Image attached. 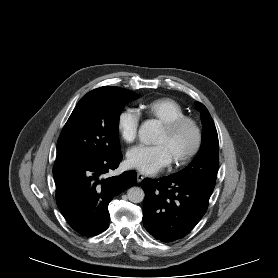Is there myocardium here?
<instances>
[{
  "label": "myocardium",
  "instance_id": "obj_1",
  "mask_svg": "<svg viewBox=\"0 0 278 278\" xmlns=\"http://www.w3.org/2000/svg\"><path fill=\"white\" fill-rule=\"evenodd\" d=\"M184 126H189L192 129L194 141L191 148L185 154L171 161V164L175 167L183 166L191 161L200 151L203 142V133L200 125L195 119L188 116H182L163 124L162 130L166 135L171 136Z\"/></svg>",
  "mask_w": 278,
  "mask_h": 278
}]
</instances>
